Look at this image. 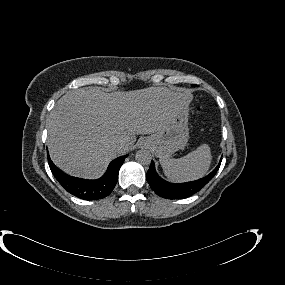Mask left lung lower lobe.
<instances>
[{
  "instance_id": "obj_1",
  "label": "left lung lower lobe",
  "mask_w": 285,
  "mask_h": 285,
  "mask_svg": "<svg viewBox=\"0 0 285 285\" xmlns=\"http://www.w3.org/2000/svg\"><path fill=\"white\" fill-rule=\"evenodd\" d=\"M219 165L206 177L196 181L172 184L161 179L155 171L154 162H151L146 179L155 193L166 199H184L201 190L216 174Z\"/></svg>"
}]
</instances>
